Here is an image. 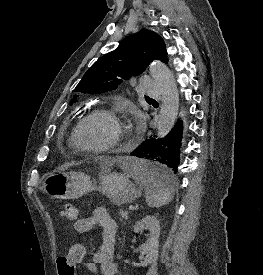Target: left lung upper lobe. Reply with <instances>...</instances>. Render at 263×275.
I'll list each match as a JSON object with an SVG mask.
<instances>
[{
  "label": "left lung upper lobe",
  "mask_w": 263,
  "mask_h": 275,
  "mask_svg": "<svg viewBox=\"0 0 263 275\" xmlns=\"http://www.w3.org/2000/svg\"><path fill=\"white\" fill-rule=\"evenodd\" d=\"M153 60L167 62L165 43L155 32L142 29L126 38L116 50L97 60L86 71L74 92L100 94L115 90L123 80L141 74Z\"/></svg>",
  "instance_id": "1"
}]
</instances>
